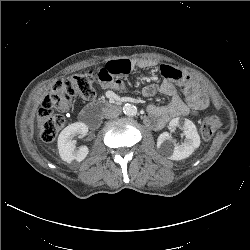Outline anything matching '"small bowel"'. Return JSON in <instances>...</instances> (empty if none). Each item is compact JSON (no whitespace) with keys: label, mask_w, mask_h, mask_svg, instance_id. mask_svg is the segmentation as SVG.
Returning a JSON list of instances; mask_svg holds the SVG:
<instances>
[{"label":"small bowel","mask_w":250,"mask_h":250,"mask_svg":"<svg viewBox=\"0 0 250 250\" xmlns=\"http://www.w3.org/2000/svg\"><path fill=\"white\" fill-rule=\"evenodd\" d=\"M148 62H142L140 66H148ZM135 63L128 59L113 60L107 62L98 72V80L106 89H122L121 77L130 73ZM160 72L163 81L145 86L141 94L151 97L157 92H162L171 97L170 104L166 106L150 105L147 108L146 122L154 129L163 128L171 120L188 115H198L208 104V99L199 85L184 72L171 66L162 65ZM182 87L184 98L178 92Z\"/></svg>","instance_id":"small-bowel-1"}]
</instances>
